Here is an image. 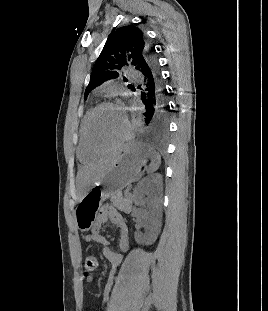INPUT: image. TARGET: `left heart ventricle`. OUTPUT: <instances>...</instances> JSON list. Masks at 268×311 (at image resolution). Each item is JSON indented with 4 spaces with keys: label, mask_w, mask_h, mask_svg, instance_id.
I'll list each match as a JSON object with an SVG mask.
<instances>
[{
    "label": "left heart ventricle",
    "mask_w": 268,
    "mask_h": 311,
    "mask_svg": "<svg viewBox=\"0 0 268 311\" xmlns=\"http://www.w3.org/2000/svg\"><path fill=\"white\" fill-rule=\"evenodd\" d=\"M126 124L118 108L105 107L98 111L91 123V140L98 148L115 144L124 134Z\"/></svg>",
    "instance_id": "b2bd125f"
}]
</instances>
